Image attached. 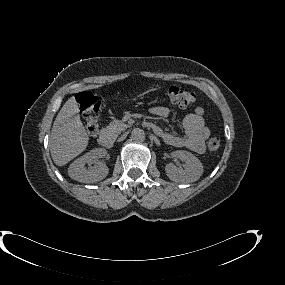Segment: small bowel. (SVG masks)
<instances>
[{
	"label": "small bowel",
	"mask_w": 285,
	"mask_h": 285,
	"mask_svg": "<svg viewBox=\"0 0 285 285\" xmlns=\"http://www.w3.org/2000/svg\"><path fill=\"white\" fill-rule=\"evenodd\" d=\"M150 112L160 118L169 115V110L163 106H155ZM204 110L196 107L183 120L184 135H178L163 131L160 127L152 124V129L156 134L169 145L174 147H185L195 153L201 154L205 151V140L209 137L210 131L204 123Z\"/></svg>",
	"instance_id": "1"
}]
</instances>
